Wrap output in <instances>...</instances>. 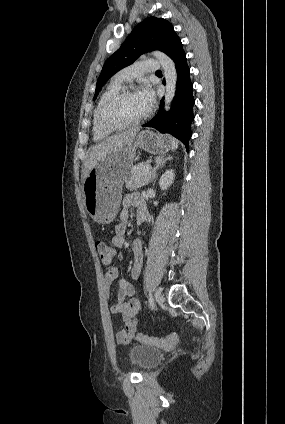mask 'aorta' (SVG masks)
I'll return each instance as SVG.
<instances>
[{"label":"aorta","instance_id":"obj_1","mask_svg":"<svg viewBox=\"0 0 285 424\" xmlns=\"http://www.w3.org/2000/svg\"><path fill=\"white\" fill-rule=\"evenodd\" d=\"M152 55L158 60L164 71L166 81L164 108L168 111L176 92L177 71L173 60L163 52L154 51Z\"/></svg>","mask_w":285,"mask_h":424}]
</instances>
